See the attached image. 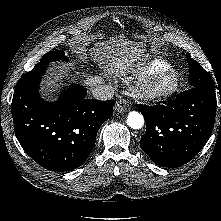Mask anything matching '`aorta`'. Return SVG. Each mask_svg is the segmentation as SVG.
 Returning <instances> with one entry per match:
<instances>
[{
  "label": "aorta",
  "mask_w": 221,
  "mask_h": 221,
  "mask_svg": "<svg viewBox=\"0 0 221 221\" xmlns=\"http://www.w3.org/2000/svg\"><path fill=\"white\" fill-rule=\"evenodd\" d=\"M127 124L132 129H141L144 126V117L137 111H132L127 116Z\"/></svg>",
  "instance_id": "1"
}]
</instances>
